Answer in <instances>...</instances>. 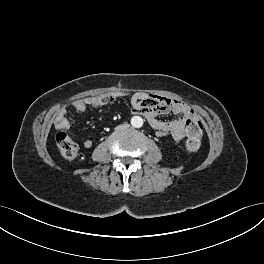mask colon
Returning a JSON list of instances; mask_svg holds the SVG:
<instances>
[{
    "mask_svg": "<svg viewBox=\"0 0 264 264\" xmlns=\"http://www.w3.org/2000/svg\"><path fill=\"white\" fill-rule=\"evenodd\" d=\"M186 148L190 152L199 150L203 136V126L198 119L189 120L186 130ZM56 144L61 155L66 159H74L78 155V145L68 134L67 128H62L56 135Z\"/></svg>",
    "mask_w": 264,
    "mask_h": 264,
    "instance_id": "obj_1",
    "label": "colon"
}]
</instances>
